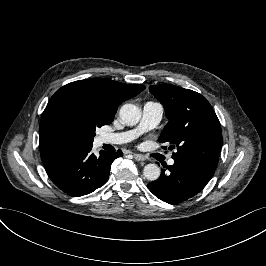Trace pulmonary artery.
<instances>
[{
    "instance_id": "pulmonary-artery-1",
    "label": "pulmonary artery",
    "mask_w": 266,
    "mask_h": 266,
    "mask_svg": "<svg viewBox=\"0 0 266 266\" xmlns=\"http://www.w3.org/2000/svg\"><path fill=\"white\" fill-rule=\"evenodd\" d=\"M164 108L159 102L147 101L143 105L140 124L134 130L122 133H107L101 136V141L106 144H123L132 141L140 134L154 129L161 121ZM169 165L174 164L173 159L168 160Z\"/></svg>"
}]
</instances>
